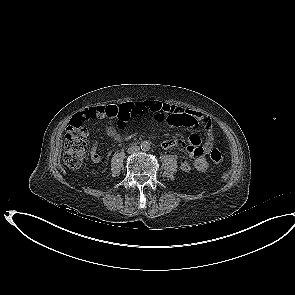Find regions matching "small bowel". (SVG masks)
Listing matches in <instances>:
<instances>
[{
    "label": "small bowel",
    "instance_id": "c3829d8e",
    "mask_svg": "<svg viewBox=\"0 0 295 295\" xmlns=\"http://www.w3.org/2000/svg\"><path fill=\"white\" fill-rule=\"evenodd\" d=\"M128 105L132 108L134 117H141L146 111L152 112L158 121L165 122L170 127L181 126L183 128L192 130L187 142L179 139H169L162 142L161 146L164 149H172L176 147H183L186 149L189 157L192 160L190 163L187 159L180 161V168L183 171H190L194 168L197 171L205 172L210 165L206 160V155L214 146V133L212 128V121L206 114L177 107L158 100H144L131 102ZM106 106H93L85 108L80 111L72 121L85 123L95 119L105 117ZM201 127L205 132V141L201 144V135L196 131ZM107 133L116 141H123L129 135L123 133L114 126L107 128ZM90 158L94 163L102 161V155L98 150V142L93 141L90 150Z\"/></svg>",
    "mask_w": 295,
    "mask_h": 295
}]
</instances>
